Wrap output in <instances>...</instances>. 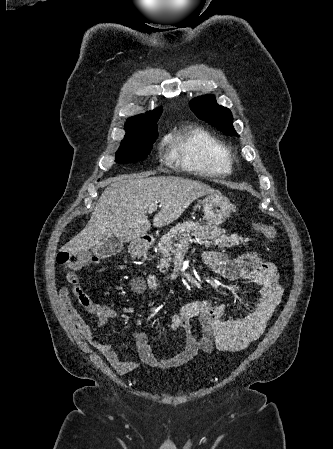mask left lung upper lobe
<instances>
[{"mask_svg":"<svg viewBox=\"0 0 333 449\" xmlns=\"http://www.w3.org/2000/svg\"><path fill=\"white\" fill-rule=\"evenodd\" d=\"M190 107L198 118L212 124L224 134L238 136L232 125L233 117L230 110L218 105L213 95L193 99Z\"/></svg>","mask_w":333,"mask_h":449,"instance_id":"obj_1","label":"left lung upper lobe"}]
</instances>
